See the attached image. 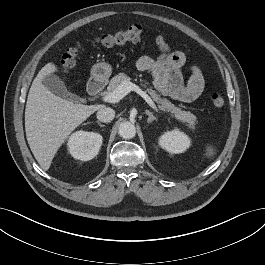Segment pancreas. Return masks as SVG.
I'll return each mask as SVG.
<instances>
[{"mask_svg": "<svg viewBox=\"0 0 265 265\" xmlns=\"http://www.w3.org/2000/svg\"><path fill=\"white\" fill-rule=\"evenodd\" d=\"M131 78L124 73H120L114 76L109 83L107 91L103 92V95L113 92L121 83L124 81H130ZM143 81V80H141ZM143 87H146L148 82L144 81ZM147 92L150 94L152 99L158 104L159 108L165 112L171 113V116L178 121L184 123L188 129L194 130L197 124L196 116L189 111H183L181 108L172 104L168 99L161 98L160 95L152 88H147Z\"/></svg>", "mask_w": 265, "mask_h": 265, "instance_id": "obj_1", "label": "pancreas"}]
</instances>
